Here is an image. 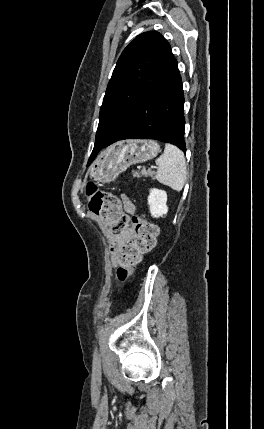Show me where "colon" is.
Segmentation results:
<instances>
[{
    "instance_id": "obj_1",
    "label": "colon",
    "mask_w": 264,
    "mask_h": 429,
    "mask_svg": "<svg viewBox=\"0 0 264 429\" xmlns=\"http://www.w3.org/2000/svg\"><path fill=\"white\" fill-rule=\"evenodd\" d=\"M89 199V209L96 215L102 216L112 233H119L129 225L136 232L134 240L122 246L117 253V276L122 282L128 280L140 263L142 255L150 252L156 244L157 227L142 217H128L121 209L116 195L104 191L94 184H89L86 190Z\"/></svg>"
}]
</instances>
